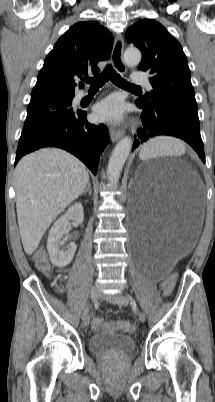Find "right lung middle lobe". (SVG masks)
<instances>
[{"mask_svg":"<svg viewBox=\"0 0 215 402\" xmlns=\"http://www.w3.org/2000/svg\"><path fill=\"white\" fill-rule=\"evenodd\" d=\"M71 97H46L31 100L20 139L53 122L64 119L74 111Z\"/></svg>","mask_w":215,"mask_h":402,"instance_id":"obj_1","label":"right lung middle lobe"}]
</instances>
